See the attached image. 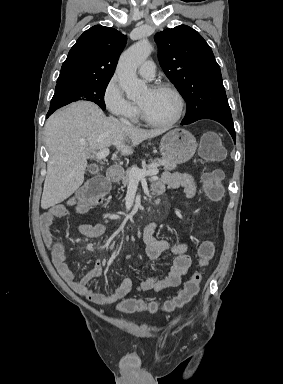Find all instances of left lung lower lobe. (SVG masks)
<instances>
[{"label":"left lung lower lobe","instance_id":"0a47b994","mask_svg":"<svg viewBox=\"0 0 283 384\" xmlns=\"http://www.w3.org/2000/svg\"><path fill=\"white\" fill-rule=\"evenodd\" d=\"M200 119H212V120L218 121L229 131L234 142L236 141L235 130H234V125H233L231 113L204 115L202 117H199L196 120H193L190 122H182L181 124L182 125L190 124V123H193V122L200 120Z\"/></svg>","mask_w":283,"mask_h":384}]
</instances>
